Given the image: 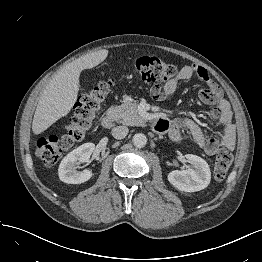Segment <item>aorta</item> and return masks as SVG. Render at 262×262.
I'll use <instances>...</instances> for the list:
<instances>
[{"mask_svg":"<svg viewBox=\"0 0 262 262\" xmlns=\"http://www.w3.org/2000/svg\"><path fill=\"white\" fill-rule=\"evenodd\" d=\"M132 141L136 148H143L147 144V137L143 133H137L133 136Z\"/></svg>","mask_w":262,"mask_h":262,"instance_id":"1","label":"aorta"}]
</instances>
